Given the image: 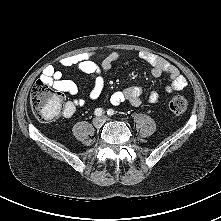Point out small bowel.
Instances as JSON below:
<instances>
[{
  "mask_svg": "<svg viewBox=\"0 0 221 221\" xmlns=\"http://www.w3.org/2000/svg\"><path fill=\"white\" fill-rule=\"evenodd\" d=\"M139 58L151 66V73L153 76L158 77L162 74H167L171 80L168 85V91H180L187 86L186 78L180 73L178 68L169 63L163 57L155 55L147 51H141L138 54ZM120 57L119 53L112 52L104 57L100 64L90 59L89 53H79L63 57L59 64L62 67H76L79 71L88 74L91 77L92 85L88 97L90 100H97L103 93L105 80L103 73L110 71L112 63ZM39 82L45 83L55 90L67 93L71 96L78 94L77 84L69 79L64 78L63 73L55 66H47L40 77ZM143 89L137 86H130L123 90L116 91L110 96V102L118 105L124 101H128L133 106H138L141 103V96ZM149 101L157 103L159 95L156 91L149 94ZM86 100L82 97H77L68 100L65 103L63 116L71 117L77 107L83 106Z\"/></svg>",
  "mask_w": 221,
  "mask_h": 221,
  "instance_id": "small-bowel-1",
  "label": "small bowel"
}]
</instances>
